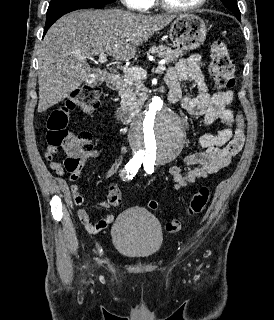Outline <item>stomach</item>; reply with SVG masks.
I'll use <instances>...</instances> for the list:
<instances>
[{
    "mask_svg": "<svg viewBox=\"0 0 274 320\" xmlns=\"http://www.w3.org/2000/svg\"><path fill=\"white\" fill-rule=\"evenodd\" d=\"M170 40L178 50H196L206 40L207 28L204 20L194 14H181L172 22Z\"/></svg>",
    "mask_w": 274,
    "mask_h": 320,
    "instance_id": "obj_1",
    "label": "stomach"
}]
</instances>
